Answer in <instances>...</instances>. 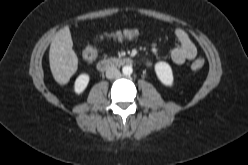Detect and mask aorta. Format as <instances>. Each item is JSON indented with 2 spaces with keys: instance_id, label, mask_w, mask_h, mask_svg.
I'll use <instances>...</instances> for the list:
<instances>
[{
  "instance_id": "1",
  "label": "aorta",
  "mask_w": 248,
  "mask_h": 165,
  "mask_svg": "<svg viewBox=\"0 0 248 165\" xmlns=\"http://www.w3.org/2000/svg\"><path fill=\"white\" fill-rule=\"evenodd\" d=\"M122 72L124 75H131L133 72V68L130 65L123 66Z\"/></svg>"
}]
</instances>
